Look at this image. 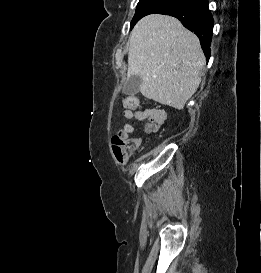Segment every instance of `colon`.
I'll list each match as a JSON object with an SVG mask.
<instances>
[{
    "mask_svg": "<svg viewBox=\"0 0 261 273\" xmlns=\"http://www.w3.org/2000/svg\"><path fill=\"white\" fill-rule=\"evenodd\" d=\"M124 106L135 112H142V106L139 99L133 95H127L124 98ZM112 151L115 160L119 164H124L129 156L138 148L140 140L138 138H127V133L120 131L112 137Z\"/></svg>",
    "mask_w": 261,
    "mask_h": 273,
    "instance_id": "obj_1",
    "label": "colon"
}]
</instances>
